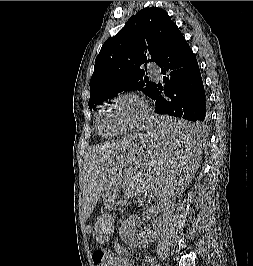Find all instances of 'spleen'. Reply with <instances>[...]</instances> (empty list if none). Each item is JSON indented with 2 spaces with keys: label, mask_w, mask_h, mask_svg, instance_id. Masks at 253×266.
Returning a JSON list of instances; mask_svg holds the SVG:
<instances>
[{
  "label": "spleen",
  "mask_w": 253,
  "mask_h": 266,
  "mask_svg": "<svg viewBox=\"0 0 253 266\" xmlns=\"http://www.w3.org/2000/svg\"><path fill=\"white\" fill-rule=\"evenodd\" d=\"M151 145L138 151L141 160H129L130 176L123 177L118 193L126 199H149L150 204H169L180 199L190 174H195L201 158L199 123H186L185 117H147ZM113 213L104 210L96 215L95 235L104 246L113 244Z\"/></svg>",
  "instance_id": "spleen-1"
}]
</instances>
